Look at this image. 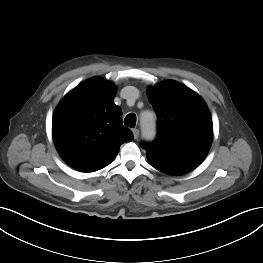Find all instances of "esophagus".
I'll return each instance as SVG.
<instances>
[{"label":"esophagus","mask_w":263,"mask_h":263,"mask_svg":"<svg viewBox=\"0 0 263 263\" xmlns=\"http://www.w3.org/2000/svg\"><path fill=\"white\" fill-rule=\"evenodd\" d=\"M132 132H133L134 138L137 139L139 137V130L135 128L132 130Z\"/></svg>","instance_id":"obj_1"}]
</instances>
